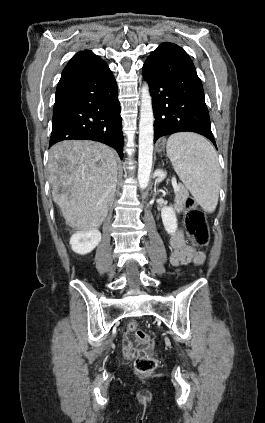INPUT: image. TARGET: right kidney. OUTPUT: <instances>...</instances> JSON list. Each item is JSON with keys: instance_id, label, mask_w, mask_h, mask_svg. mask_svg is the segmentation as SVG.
I'll list each match as a JSON object with an SVG mask.
<instances>
[{"instance_id": "obj_1", "label": "right kidney", "mask_w": 265, "mask_h": 423, "mask_svg": "<svg viewBox=\"0 0 265 423\" xmlns=\"http://www.w3.org/2000/svg\"><path fill=\"white\" fill-rule=\"evenodd\" d=\"M101 241V233L98 229L89 231H79L70 238L72 250L80 255H85L93 251Z\"/></svg>"}]
</instances>
